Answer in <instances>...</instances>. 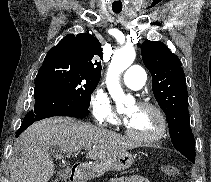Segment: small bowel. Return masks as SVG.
Wrapping results in <instances>:
<instances>
[{"instance_id": "obj_1", "label": "small bowel", "mask_w": 211, "mask_h": 182, "mask_svg": "<svg viewBox=\"0 0 211 182\" xmlns=\"http://www.w3.org/2000/svg\"><path fill=\"white\" fill-rule=\"evenodd\" d=\"M111 182H149V181L141 176H122L112 179Z\"/></svg>"}]
</instances>
